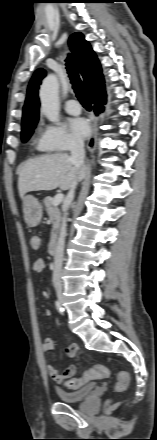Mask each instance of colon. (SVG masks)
Wrapping results in <instances>:
<instances>
[{
	"mask_svg": "<svg viewBox=\"0 0 157 440\" xmlns=\"http://www.w3.org/2000/svg\"><path fill=\"white\" fill-rule=\"evenodd\" d=\"M30 246L33 250H39L41 246V239L37 235H32L30 237ZM34 268L37 270H42L45 268V263L42 259H37L34 262ZM109 375V370L103 365H94L91 368L84 371L79 377H69L64 382L63 385L67 389H77L84 385L86 382L96 379L105 378ZM129 385V375L126 371L120 370L117 374V382L115 384L114 390L116 393H121L127 389Z\"/></svg>",
	"mask_w": 157,
	"mask_h": 440,
	"instance_id": "5ec220e1",
	"label": "colon"
}]
</instances>
